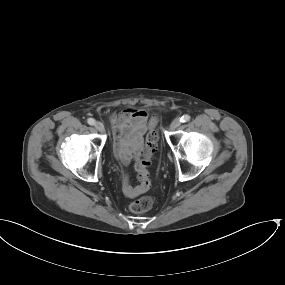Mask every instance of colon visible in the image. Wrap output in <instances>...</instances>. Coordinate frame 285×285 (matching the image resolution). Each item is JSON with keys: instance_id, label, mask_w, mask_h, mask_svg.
<instances>
[{"instance_id": "1", "label": "colon", "mask_w": 285, "mask_h": 285, "mask_svg": "<svg viewBox=\"0 0 285 285\" xmlns=\"http://www.w3.org/2000/svg\"><path fill=\"white\" fill-rule=\"evenodd\" d=\"M158 135L154 130L149 131L145 136V146L142 153V158L136 163L137 179L139 188L146 191L150 186V178L148 166L150 165L152 156L157 147ZM123 188L127 190L128 184L125 182ZM154 204V199L150 196H145L130 203L129 210L135 214H141L149 211Z\"/></svg>"}]
</instances>
